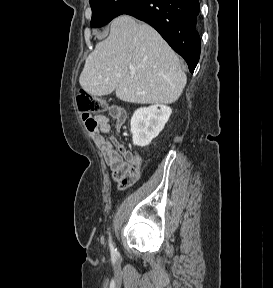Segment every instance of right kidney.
<instances>
[{"label":"right kidney","mask_w":273,"mask_h":288,"mask_svg":"<svg viewBox=\"0 0 273 288\" xmlns=\"http://www.w3.org/2000/svg\"><path fill=\"white\" fill-rule=\"evenodd\" d=\"M172 109L166 105H151L137 109L131 118L134 144L145 147L159 135L169 120Z\"/></svg>","instance_id":"ca27d5eb"}]
</instances>
